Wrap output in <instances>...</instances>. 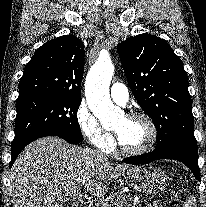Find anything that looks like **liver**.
<instances>
[{
  "instance_id": "1",
  "label": "liver",
  "mask_w": 206,
  "mask_h": 207,
  "mask_svg": "<svg viewBox=\"0 0 206 207\" xmlns=\"http://www.w3.org/2000/svg\"><path fill=\"white\" fill-rule=\"evenodd\" d=\"M135 168L112 164L59 137L40 138L24 148L11 168V202L13 207H62V192L81 187L102 197L108 191L106 181L130 175Z\"/></svg>"
}]
</instances>
